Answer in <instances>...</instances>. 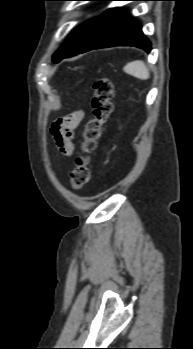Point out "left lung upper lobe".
<instances>
[{"mask_svg": "<svg viewBox=\"0 0 193 349\" xmlns=\"http://www.w3.org/2000/svg\"><path fill=\"white\" fill-rule=\"evenodd\" d=\"M92 1H110V0H92ZM96 18L90 19L77 27L68 37V39L65 41V43L61 46V48L53 55V60L61 56L62 54L68 52L70 49L73 48V46L79 41V39L82 37L84 32L87 30V28L91 25V23Z\"/></svg>", "mask_w": 193, "mask_h": 349, "instance_id": "left-lung-upper-lobe-1", "label": "left lung upper lobe"}]
</instances>
